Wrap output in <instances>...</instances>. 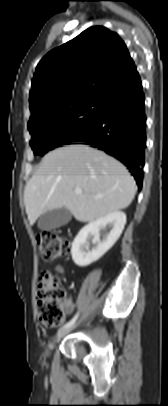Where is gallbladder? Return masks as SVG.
<instances>
[{"instance_id": "gallbladder-1", "label": "gallbladder", "mask_w": 168, "mask_h": 406, "mask_svg": "<svg viewBox=\"0 0 168 406\" xmlns=\"http://www.w3.org/2000/svg\"><path fill=\"white\" fill-rule=\"evenodd\" d=\"M71 212L65 207L47 211L38 220V228L41 230H52L66 225L71 220Z\"/></svg>"}]
</instances>
